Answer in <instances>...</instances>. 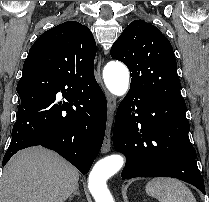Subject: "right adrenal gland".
<instances>
[{
	"mask_svg": "<svg viewBox=\"0 0 209 202\" xmlns=\"http://www.w3.org/2000/svg\"><path fill=\"white\" fill-rule=\"evenodd\" d=\"M75 195L80 196L79 187L75 189L74 193L69 197V200H71Z\"/></svg>",
	"mask_w": 209,
	"mask_h": 202,
	"instance_id": "2a0ac1e0",
	"label": "right adrenal gland"
}]
</instances>
